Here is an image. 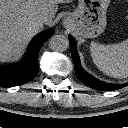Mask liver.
<instances>
[{"instance_id": "obj_1", "label": "liver", "mask_w": 128, "mask_h": 128, "mask_svg": "<svg viewBox=\"0 0 128 128\" xmlns=\"http://www.w3.org/2000/svg\"><path fill=\"white\" fill-rule=\"evenodd\" d=\"M73 0H0V62L17 57L31 40L43 28L39 13L46 9L50 25L58 11L59 3H71Z\"/></svg>"}]
</instances>
